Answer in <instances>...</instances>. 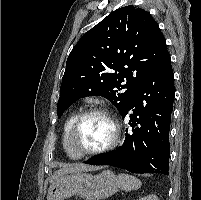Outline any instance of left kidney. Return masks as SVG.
<instances>
[{
	"label": "left kidney",
	"instance_id": "obj_1",
	"mask_svg": "<svg viewBox=\"0 0 201 200\" xmlns=\"http://www.w3.org/2000/svg\"><path fill=\"white\" fill-rule=\"evenodd\" d=\"M139 200H158L156 195H148L146 197L140 198Z\"/></svg>",
	"mask_w": 201,
	"mask_h": 200
}]
</instances>
